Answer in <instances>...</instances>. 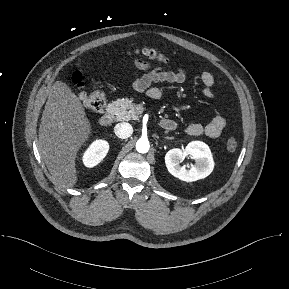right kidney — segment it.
Listing matches in <instances>:
<instances>
[{"instance_id":"1","label":"right kidney","mask_w":289,"mask_h":289,"mask_svg":"<svg viewBox=\"0 0 289 289\" xmlns=\"http://www.w3.org/2000/svg\"><path fill=\"white\" fill-rule=\"evenodd\" d=\"M108 150L109 144L107 141L102 139L95 140L83 154V164L89 168L96 166L104 159Z\"/></svg>"}]
</instances>
